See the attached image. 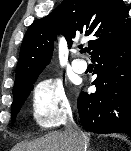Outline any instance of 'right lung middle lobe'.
Masks as SVG:
<instances>
[{
  "label": "right lung middle lobe",
  "instance_id": "obj_1",
  "mask_svg": "<svg viewBox=\"0 0 131 151\" xmlns=\"http://www.w3.org/2000/svg\"><path fill=\"white\" fill-rule=\"evenodd\" d=\"M35 77L28 84L23 87L17 88L13 90V103L11 106V118L14 121L17 113L19 112L21 106L23 105L25 99L30 94L31 89L33 88V84L36 81Z\"/></svg>",
  "mask_w": 131,
  "mask_h": 151
}]
</instances>
